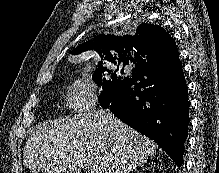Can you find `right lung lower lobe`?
I'll use <instances>...</instances> for the list:
<instances>
[{
	"label": "right lung lower lobe",
	"instance_id": "1",
	"mask_svg": "<svg viewBox=\"0 0 219 173\" xmlns=\"http://www.w3.org/2000/svg\"><path fill=\"white\" fill-rule=\"evenodd\" d=\"M104 108L154 140L181 167L188 135L189 100L179 57L171 66L152 59L143 62Z\"/></svg>",
	"mask_w": 219,
	"mask_h": 173
}]
</instances>
